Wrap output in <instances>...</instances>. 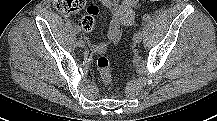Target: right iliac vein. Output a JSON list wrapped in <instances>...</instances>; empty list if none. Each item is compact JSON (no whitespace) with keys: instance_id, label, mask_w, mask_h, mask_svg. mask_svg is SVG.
I'll list each match as a JSON object with an SVG mask.
<instances>
[{"instance_id":"right-iliac-vein-1","label":"right iliac vein","mask_w":217,"mask_h":121,"mask_svg":"<svg viewBox=\"0 0 217 121\" xmlns=\"http://www.w3.org/2000/svg\"><path fill=\"white\" fill-rule=\"evenodd\" d=\"M77 45L81 48L85 47V43L82 40H78Z\"/></svg>"}]
</instances>
